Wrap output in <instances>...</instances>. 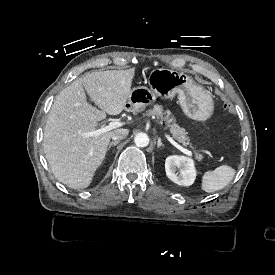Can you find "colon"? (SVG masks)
<instances>
[{
  "instance_id": "5ec220e1",
  "label": "colon",
  "mask_w": 275,
  "mask_h": 275,
  "mask_svg": "<svg viewBox=\"0 0 275 275\" xmlns=\"http://www.w3.org/2000/svg\"><path fill=\"white\" fill-rule=\"evenodd\" d=\"M222 107L225 110V113L227 116L232 117L235 115L236 110L233 107V104L231 101H229V100L224 101L222 104Z\"/></svg>"
}]
</instances>
